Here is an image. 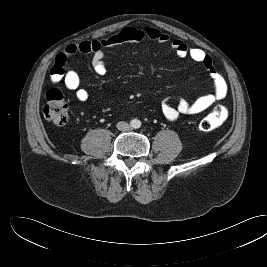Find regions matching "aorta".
Returning a JSON list of instances; mask_svg holds the SVG:
<instances>
[{"instance_id": "1", "label": "aorta", "mask_w": 267, "mask_h": 267, "mask_svg": "<svg viewBox=\"0 0 267 267\" xmlns=\"http://www.w3.org/2000/svg\"><path fill=\"white\" fill-rule=\"evenodd\" d=\"M132 125H133V127H139L140 126V121L139 120H137V119H135V120H133L132 121Z\"/></svg>"}]
</instances>
